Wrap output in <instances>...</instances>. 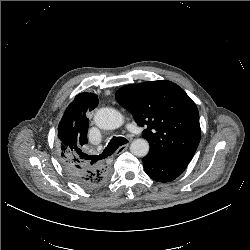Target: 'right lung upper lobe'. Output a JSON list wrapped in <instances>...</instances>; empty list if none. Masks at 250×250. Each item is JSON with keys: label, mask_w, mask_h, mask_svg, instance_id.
Instances as JSON below:
<instances>
[{"label": "right lung upper lobe", "mask_w": 250, "mask_h": 250, "mask_svg": "<svg viewBox=\"0 0 250 250\" xmlns=\"http://www.w3.org/2000/svg\"><path fill=\"white\" fill-rule=\"evenodd\" d=\"M98 97L93 93H80L66 108L58 126V140L61 161L65 169L79 171L90 169L96 174L109 171V166L97 156L83 152L88 143L89 120L87 113L98 105Z\"/></svg>", "instance_id": "right-lung-upper-lobe-1"}]
</instances>
